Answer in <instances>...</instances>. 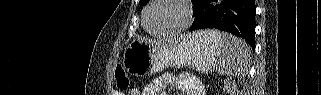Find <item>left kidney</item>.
<instances>
[{"label":"left kidney","mask_w":321,"mask_h":95,"mask_svg":"<svg viewBox=\"0 0 321 95\" xmlns=\"http://www.w3.org/2000/svg\"><path fill=\"white\" fill-rule=\"evenodd\" d=\"M226 90H227L228 93H230L232 95L235 94V90L232 87L226 88Z\"/></svg>","instance_id":"5707ae66"}]
</instances>
